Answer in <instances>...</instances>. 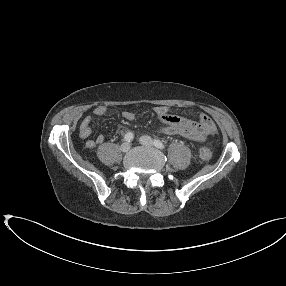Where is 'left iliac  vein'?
<instances>
[{"label":"left iliac vein","instance_id":"left-iliac-vein-1","mask_svg":"<svg viewBox=\"0 0 286 286\" xmlns=\"http://www.w3.org/2000/svg\"><path fill=\"white\" fill-rule=\"evenodd\" d=\"M140 143L144 146H153V140L149 136H142L140 137Z\"/></svg>","mask_w":286,"mask_h":286}]
</instances>
